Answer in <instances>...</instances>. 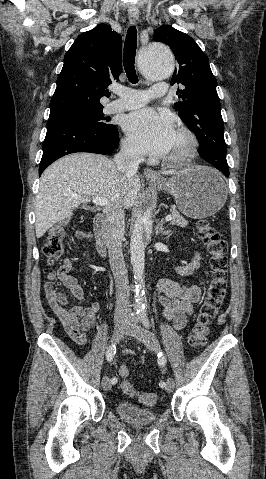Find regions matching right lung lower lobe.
<instances>
[{"instance_id":"right-lung-lower-lobe-1","label":"right lung lower lobe","mask_w":266,"mask_h":479,"mask_svg":"<svg viewBox=\"0 0 266 479\" xmlns=\"http://www.w3.org/2000/svg\"><path fill=\"white\" fill-rule=\"evenodd\" d=\"M118 137L115 126L98 129L74 121L48 120L39 175L55 160L70 153L109 154L116 149Z\"/></svg>"}]
</instances>
